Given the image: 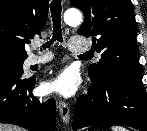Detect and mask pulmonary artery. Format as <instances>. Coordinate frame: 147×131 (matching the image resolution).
Returning <instances> with one entry per match:
<instances>
[{
    "instance_id": "pulmonary-artery-1",
    "label": "pulmonary artery",
    "mask_w": 147,
    "mask_h": 131,
    "mask_svg": "<svg viewBox=\"0 0 147 131\" xmlns=\"http://www.w3.org/2000/svg\"><path fill=\"white\" fill-rule=\"evenodd\" d=\"M36 46L40 48L41 44L39 42H36ZM69 49L74 53H85L90 49V45L82 39L72 38L69 42ZM51 58L52 56L48 53L40 56L32 54L26 59L25 64L27 67L42 65L50 61Z\"/></svg>"
}]
</instances>
